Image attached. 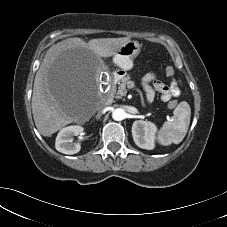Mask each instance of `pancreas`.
<instances>
[{
    "label": "pancreas",
    "mask_w": 227,
    "mask_h": 227,
    "mask_svg": "<svg viewBox=\"0 0 227 227\" xmlns=\"http://www.w3.org/2000/svg\"><path fill=\"white\" fill-rule=\"evenodd\" d=\"M130 82V76L127 75L125 77H123L122 79H120L119 81H117L118 86V90L115 93L116 95H114L115 98H122L123 96H125L127 94V86L129 85Z\"/></svg>",
    "instance_id": "1"
}]
</instances>
